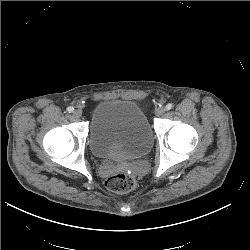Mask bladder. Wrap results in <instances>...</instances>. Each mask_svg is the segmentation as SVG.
Returning a JSON list of instances; mask_svg holds the SVG:
<instances>
[{
	"label": "bladder",
	"mask_w": 250,
	"mask_h": 250,
	"mask_svg": "<svg viewBox=\"0 0 250 250\" xmlns=\"http://www.w3.org/2000/svg\"><path fill=\"white\" fill-rule=\"evenodd\" d=\"M88 141L96 158L126 162L150 151L153 132L145 112L136 102L106 99L92 111Z\"/></svg>",
	"instance_id": "31cf9c89"
}]
</instances>
